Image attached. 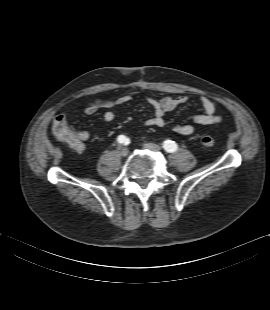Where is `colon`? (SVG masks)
I'll list each match as a JSON object with an SVG mask.
<instances>
[{"label":"colon","instance_id":"5ec220e1","mask_svg":"<svg viewBox=\"0 0 270 310\" xmlns=\"http://www.w3.org/2000/svg\"><path fill=\"white\" fill-rule=\"evenodd\" d=\"M52 130L54 135L62 142L69 146L79 149L81 142L76 131L70 128L68 121L64 115H58L52 123ZM200 142L205 147H212L215 144V139L211 135H203Z\"/></svg>","mask_w":270,"mask_h":310}]
</instances>
